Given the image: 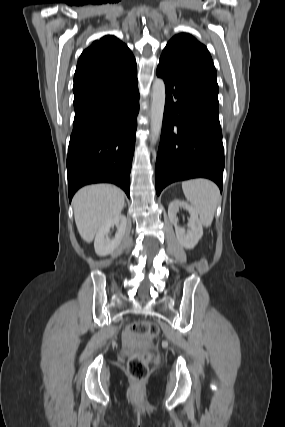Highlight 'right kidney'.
<instances>
[{
	"label": "right kidney",
	"mask_w": 285,
	"mask_h": 427,
	"mask_svg": "<svg viewBox=\"0 0 285 427\" xmlns=\"http://www.w3.org/2000/svg\"><path fill=\"white\" fill-rule=\"evenodd\" d=\"M114 226L117 228V232L113 239H109L107 235L110 228ZM126 226L127 219L121 214L101 226L96 233L94 241L96 254L99 256L112 254L120 246L126 232Z\"/></svg>",
	"instance_id": "1"
}]
</instances>
